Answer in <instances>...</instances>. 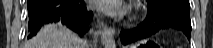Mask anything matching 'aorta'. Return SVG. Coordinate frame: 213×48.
Instances as JSON below:
<instances>
[{"label": "aorta", "instance_id": "762f6f07", "mask_svg": "<svg viewBox=\"0 0 213 48\" xmlns=\"http://www.w3.org/2000/svg\"><path fill=\"white\" fill-rule=\"evenodd\" d=\"M105 48H116V42L113 32H109L105 43Z\"/></svg>", "mask_w": 213, "mask_h": 48}]
</instances>
